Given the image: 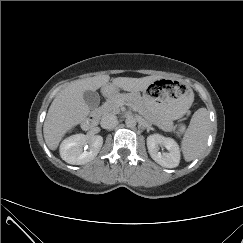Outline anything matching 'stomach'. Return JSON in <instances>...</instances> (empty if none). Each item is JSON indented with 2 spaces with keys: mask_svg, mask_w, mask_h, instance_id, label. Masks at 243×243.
<instances>
[{
  "mask_svg": "<svg viewBox=\"0 0 243 243\" xmlns=\"http://www.w3.org/2000/svg\"><path fill=\"white\" fill-rule=\"evenodd\" d=\"M104 91L110 95L112 88L105 85ZM142 100L147 111L159 119L172 122L186 114L194 101V93L188 86L161 78L143 90Z\"/></svg>",
  "mask_w": 243,
  "mask_h": 243,
  "instance_id": "obj_1",
  "label": "stomach"
}]
</instances>
